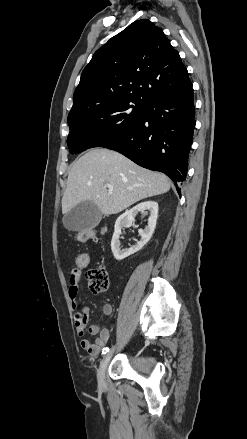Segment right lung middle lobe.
Here are the masks:
<instances>
[{"instance_id":"right-lung-middle-lobe-1","label":"right lung middle lobe","mask_w":247,"mask_h":439,"mask_svg":"<svg viewBox=\"0 0 247 439\" xmlns=\"http://www.w3.org/2000/svg\"><path fill=\"white\" fill-rule=\"evenodd\" d=\"M147 104L115 101L68 117L67 145L72 154L92 147H107L125 136L144 116Z\"/></svg>"}]
</instances>
